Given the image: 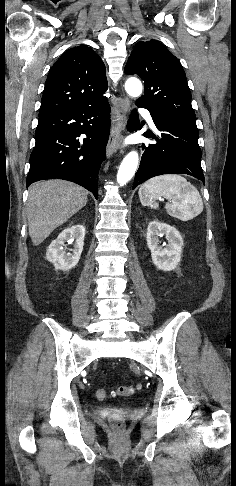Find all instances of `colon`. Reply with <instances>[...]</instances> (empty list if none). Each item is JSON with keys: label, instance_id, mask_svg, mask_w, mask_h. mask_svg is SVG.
I'll use <instances>...</instances> for the list:
<instances>
[{"label": "colon", "instance_id": "colon-1", "mask_svg": "<svg viewBox=\"0 0 236 486\" xmlns=\"http://www.w3.org/2000/svg\"><path fill=\"white\" fill-rule=\"evenodd\" d=\"M139 390H140L139 385L120 386L114 391H112V394L126 397L135 394ZM107 396H108V392L105 389H98L95 393V397L99 401H104L107 398ZM111 422L116 431H120L122 429L123 418L119 412H115L111 415Z\"/></svg>", "mask_w": 236, "mask_h": 486}]
</instances>
